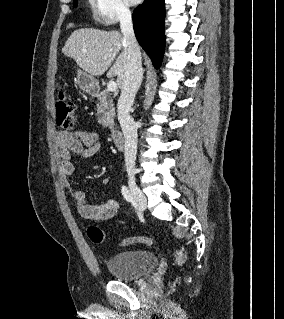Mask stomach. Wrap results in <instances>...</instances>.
<instances>
[{
  "label": "stomach",
  "instance_id": "0dacf381",
  "mask_svg": "<svg viewBox=\"0 0 284 319\" xmlns=\"http://www.w3.org/2000/svg\"><path fill=\"white\" fill-rule=\"evenodd\" d=\"M77 84L79 88L86 93H93L98 88V81L86 72L78 71Z\"/></svg>",
  "mask_w": 284,
  "mask_h": 319
}]
</instances>
